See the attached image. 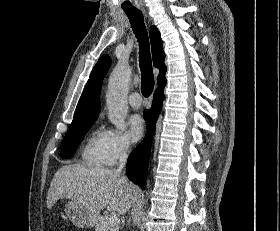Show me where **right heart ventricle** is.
<instances>
[{
	"label": "right heart ventricle",
	"mask_w": 280,
	"mask_h": 231,
	"mask_svg": "<svg viewBox=\"0 0 280 231\" xmlns=\"http://www.w3.org/2000/svg\"><path fill=\"white\" fill-rule=\"evenodd\" d=\"M103 133L94 129L86 138L81 150L82 164L89 167H103L106 158L102 146Z\"/></svg>",
	"instance_id": "e07e8e85"
}]
</instances>
